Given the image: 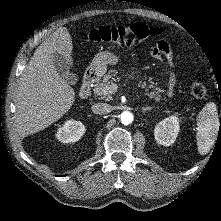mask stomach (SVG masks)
<instances>
[{"label":"stomach","instance_id":"1","mask_svg":"<svg viewBox=\"0 0 221 221\" xmlns=\"http://www.w3.org/2000/svg\"><path fill=\"white\" fill-rule=\"evenodd\" d=\"M118 62V57L110 52L98 53L88 67V72L97 77H101L107 71L108 65H115Z\"/></svg>","mask_w":221,"mask_h":221}]
</instances>
